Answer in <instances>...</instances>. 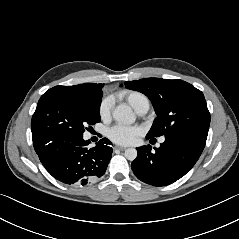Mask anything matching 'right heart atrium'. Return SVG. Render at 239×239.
<instances>
[{
  "label": "right heart atrium",
  "instance_id": "1",
  "mask_svg": "<svg viewBox=\"0 0 239 239\" xmlns=\"http://www.w3.org/2000/svg\"><path fill=\"white\" fill-rule=\"evenodd\" d=\"M112 107V100L110 98H105L102 100L99 107V115L101 119L106 120L110 117Z\"/></svg>",
  "mask_w": 239,
  "mask_h": 239
}]
</instances>
